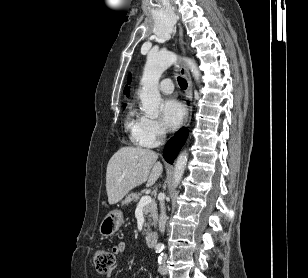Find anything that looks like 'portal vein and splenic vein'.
<instances>
[{
  "instance_id": "1",
  "label": "portal vein and splenic vein",
  "mask_w": 308,
  "mask_h": 278,
  "mask_svg": "<svg viewBox=\"0 0 308 278\" xmlns=\"http://www.w3.org/2000/svg\"><path fill=\"white\" fill-rule=\"evenodd\" d=\"M151 201H152L151 197L149 195H145L141 197L138 205L145 206L149 204Z\"/></svg>"
}]
</instances>
